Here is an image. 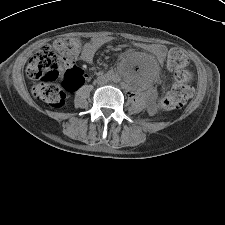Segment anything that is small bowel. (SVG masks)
I'll use <instances>...</instances> for the list:
<instances>
[{"label": "small bowel", "mask_w": 225, "mask_h": 225, "mask_svg": "<svg viewBox=\"0 0 225 225\" xmlns=\"http://www.w3.org/2000/svg\"><path fill=\"white\" fill-rule=\"evenodd\" d=\"M109 41L108 37H95L86 42L82 48L81 60L84 63L91 64L98 49ZM146 49L150 51L161 63L166 56V47L160 44L147 45Z\"/></svg>", "instance_id": "obj_1"}]
</instances>
